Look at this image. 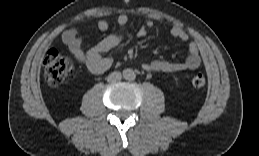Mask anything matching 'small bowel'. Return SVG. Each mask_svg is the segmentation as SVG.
Instances as JSON below:
<instances>
[{
    "label": "small bowel",
    "mask_w": 259,
    "mask_h": 156,
    "mask_svg": "<svg viewBox=\"0 0 259 156\" xmlns=\"http://www.w3.org/2000/svg\"><path fill=\"white\" fill-rule=\"evenodd\" d=\"M119 25L124 26L129 22L126 14H121L117 18ZM154 25L151 19H147L139 30L140 36H145L149 29ZM109 24L105 20L98 23L100 31H106ZM171 35L180 41L186 42L189 39L188 34L180 27H173ZM62 41L67 46L74 58L84 64L89 71L95 74H101L108 70L112 65V59L105 56L104 53L116 47L121 41L122 36L118 34H109L96 45L85 50L82 46V39L79 37L77 29H68L62 34ZM189 55L184 61L172 62L168 60H153L142 64V68L148 72H179L185 70H195L201 64L199 46L196 42L189 43Z\"/></svg>",
    "instance_id": "c3829d8e"
}]
</instances>
